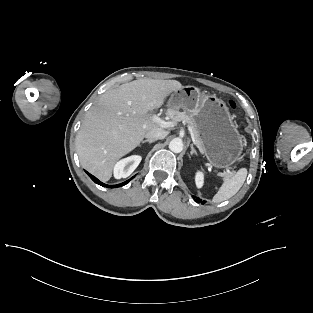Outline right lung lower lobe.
Returning <instances> with one entry per match:
<instances>
[{"mask_svg":"<svg viewBox=\"0 0 313 313\" xmlns=\"http://www.w3.org/2000/svg\"><path fill=\"white\" fill-rule=\"evenodd\" d=\"M86 173L89 175V177L95 182V183H97V184H99V185H101V186H103V187H107V188H115V187H121V186H123V185H126L131 179H129V180H127V181H125V182H123V183H121V184H117V185H107V184H104L103 182H101L100 180H98L96 177H94L93 175H91L90 173H88L87 171H86Z\"/></svg>","mask_w":313,"mask_h":313,"instance_id":"1","label":"right lung lower lobe"}]
</instances>
